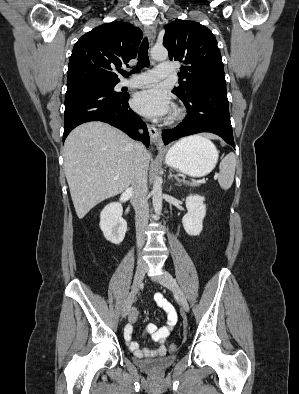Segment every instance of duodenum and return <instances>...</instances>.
<instances>
[{
  "instance_id": "1",
  "label": "duodenum",
  "mask_w": 299,
  "mask_h": 394,
  "mask_svg": "<svg viewBox=\"0 0 299 394\" xmlns=\"http://www.w3.org/2000/svg\"><path fill=\"white\" fill-rule=\"evenodd\" d=\"M131 196H132V189L128 188L121 195L120 202L125 203L126 201H128L130 199Z\"/></svg>"
}]
</instances>
